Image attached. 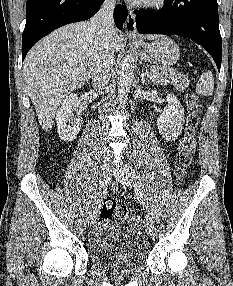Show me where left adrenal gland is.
Here are the masks:
<instances>
[{
    "label": "left adrenal gland",
    "instance_id": "left-adrenal-gland-1",
    "mask_svg": "<svg viewBox=\"0 0 233 286\" xmlns=\"http://www.w3.org/2000/svg\"><path fill=\"white\" fill-rule=\"evenodd\" d=\"M140 77H141V83L142 84H147L149 82V80L145 78V70L144 69H142Z\"/></svg>",
    "mask_w": 233,
    "mask_h": 286
}]
</instances>
